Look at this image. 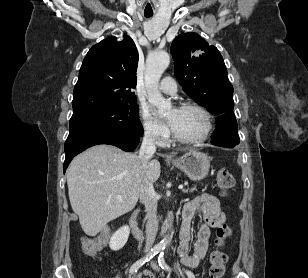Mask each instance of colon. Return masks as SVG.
<instances>
[{
	"label": "colon",
	"instance_id": "obj_1",
	"mask_svg": "<svg viewBox=\"0 0 308 278\" xmlns=\"http://www.w3.org/2000/svg\"><path fill=\"white\" fill-rule=\"evenodd\" d=\"M217 184L221 189L223 194H226L234 186V177L226 169H221L217 174ZM119 230L118 228L116 229ZM101 235L96 237H83L81 239V246L85 254L95 255L101 247H107L111 243L105 240V237H113L115 232L110 230V227H104L101 230ZM231 229L223 225L217 230V247L211 252L209 257V276L210 278H222L225 274V263L227 256L225 252L221 249V246L224 244L225 240L230 236Z\"/></svg>",
	"mask_w": 308,
	"mask_h": 278
}]
</instances>
